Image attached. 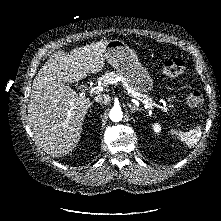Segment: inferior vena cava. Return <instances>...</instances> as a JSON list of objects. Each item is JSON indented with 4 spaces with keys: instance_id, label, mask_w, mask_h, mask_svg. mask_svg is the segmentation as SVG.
I'll return each mask as SVG.
<instances>
[{
    "instance_id": "inferior-vena-cava-1",
    "label": "inferior vena cava",
    "mask_w": 221,
    "mask_h": 221,
    "mask_svg": "<svg viewBox=\"0 0 221 221\" xmlns=\"http://www.w3.org/2000/svg\"><path fill=\"white\" fill-rule=\"evenodd\" d=\"M95 101L97 103L108 104L109 97L106 95H97V96H95Z\"/></svg>"
}]
</instances>
